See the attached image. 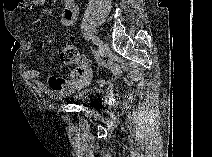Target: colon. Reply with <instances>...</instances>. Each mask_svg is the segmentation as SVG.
<instances>
[{"instance_id": "colon-1", "label": "colon", "mask_w": 212, "mask_h": 157, "mask_svg": "<svg viewBox=\"0 0 212 157\" xmlns=\"http://www.w3.org/2000/svg\"><path fill=\"white\" fill-rule=\"evenodd\" d=\"M60 58L64 63L77 67L74 75L75 79L84 80L87 78L89 73L87 60L72 41H67L61 46Z\"/></svg>"}]
</instances>
